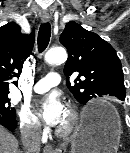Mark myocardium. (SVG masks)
<instances>
[{
	"label": "myocardium",
	"instance_id": "1",
	"mask_svg": "<svg viewBox=\"0 0 130 153\" xmlns=\"http://www.w3.org/2000/svg\"><path fill=\"white\" fill-rule=\"evenodd\" d=\"M67 121L64 125L57 127L56 134L61 137L68 136L77 126L79 122V114L76 108L68 104L66 107Z\"/></svg>",
	"mask_w": 130,
	"mask_h": 153
}]
</instances>
